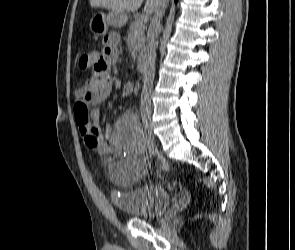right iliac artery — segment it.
<instances>
[{"label":"right iliac artery","instance_id":"right-iliac-artery-1","mask_svg":"<svg viewBox=\"0 0 295 250\" xmlns=\"http://www.w3.org/2000/svg\"><path fill=\"white\" fill-rule=\"evenodd\" d=\"M146 140H145V148H148V154H155V147H153V143L149 131L145 132Z\"/></svg>","mask_w":295,"mask_h":250}]
</instances>
